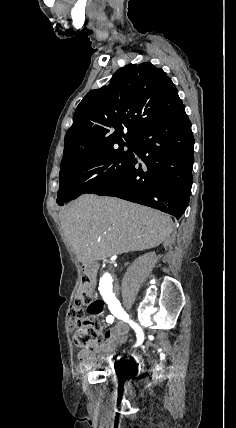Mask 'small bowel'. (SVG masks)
<instances>
[{"mask_svg":"<svg viewBox=\"0 0 236 428\" xmlns=\"http://www.w3.org/2000/svg\"><path fill=\"white\" fill-rule=\"evenodd\" d=\"M128 333L129 328L124 323H118L111 329L107 330L104 333V341L98 350L94 352L82 350L79 352L78 358L80 369H89L97 362H114L119 358V356L114 353L115 349H113V346L125 341Z\"/></svg>","mask_w":236,"mask_h":428,"instance_id":"small-bowel-1","label":"small bowel"}]
</instances>
